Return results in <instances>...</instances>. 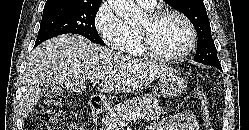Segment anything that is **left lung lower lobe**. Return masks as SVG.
<instances>
[{"label": "left lung lower lobe", "instance_id": "left-lung-lower-lobe-1", "mask_svg": "<svg viewBox=\"0 0 249 130\" xmlns=\"http://www.w3.org/2000/svg\"><path fill=\"white\" fill-rule=\"evenodd\" d=\"M219 70H221L222 71V68H221V66H219V67H217Z\"/></svg>", "mask_w": 249, "mask_h": 130}]
</instances>
